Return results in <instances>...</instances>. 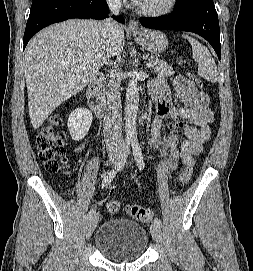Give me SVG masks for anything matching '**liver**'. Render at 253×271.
<instances>
[{"instance_id":"1","label":"liver","mask_w":253,"mask_h":271,"mask_svg":"<svg viewBox=\"0 0 253 271\" xmlns=\"http://www.w3.org/2000/svg\"><path fill=\"white\" fill-rule=\"evenodd\" d=\"M124 30L115 25L104 38L93 20L71 19L38 32L24 56L28 106L34 129L65 100L85 88L110 57L124 47Z\"/></svg>"}]
</instances>
